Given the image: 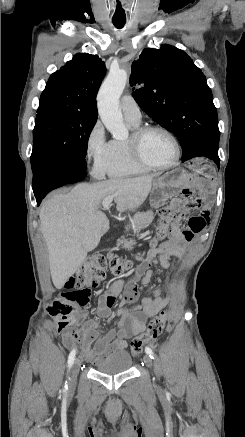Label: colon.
<instances>
[{
    "label": "colon",
    "mask_w": 245,
    "mask_h": 437,
    "mask_svg": "<svg viewBox=\"0 0 245 437\" xmlns=\"http://www.w3.org/2000/svg\"><path fill=\"white\" fill-rule=\"evenodd\" d=\"M160 222L156 238L152 244L166 239L169 235L168 225L176 218V206L167 203L159 210ZM131 267L129 261L112 253L97 252L92 254L65 283V290L49 306L50 315L55 319L62 334L78 339L84 334V326L79 323L86 318L84 308L90 303L91 288L98 286L105 278L107 270L114 275H121ZM167 312L161 311L148 325L147 329L131 341V351L138 355L145 344L156 340L166 327Z\"/></svg>",
    "instance_id": "obj_1"
}]
</instances>
